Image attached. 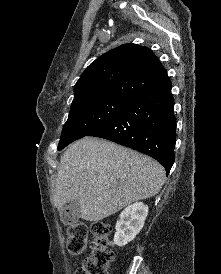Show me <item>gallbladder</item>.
Wrapping results in <instances>:
<instances>
[{"label":"gallbladder","mask_w":221,"mask_h":274,"mask_svg":"<svg viewBox=\"0 0 221 274\" xmlns=\"http://www.w3.org/2000/svg\"><path fill=\"white\" fill-rule=\"evenodd\" d=\"M67 208L69 209L68 221L77 222L80 216V205L76 201L69 202Z\"/></svg>","instance_id":"1"}]
</instances>
